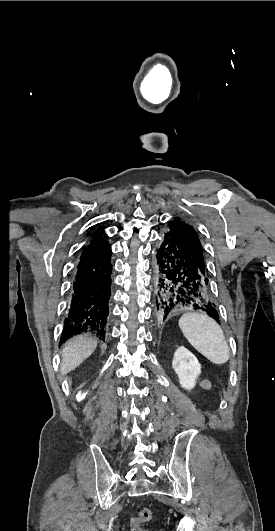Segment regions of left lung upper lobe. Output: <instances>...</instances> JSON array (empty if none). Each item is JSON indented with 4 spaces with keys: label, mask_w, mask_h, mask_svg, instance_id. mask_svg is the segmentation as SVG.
I'll list each match as a JSON object with an SVG mask.
<instances>
[{
    "label": "left lung upper lobe",
    "mask_w": 275,
    "mask_h": 531,
    "mask_svg": "<svg viewBox=\"0 0 275 531\" xmlns=\"http://www.w3.org/2000/svg\"><path fill=\"white\" fill-rule=\"evenodd\" d=\"M171 225L179 232L188 246L195 263L206 277L202 245L193 227L180 218H174V221L171 222Z\"/></svg>",
    "instance_id": "left-lung-upper-lobe-1"
}]
</instances>
